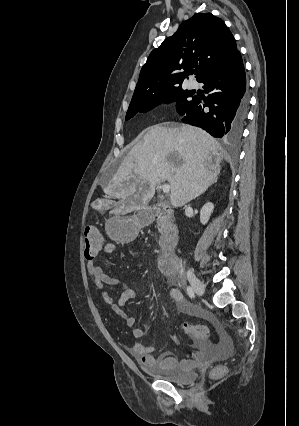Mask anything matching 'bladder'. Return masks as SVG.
Listing matches in <instances>:
<instances>
[{"mask_svg":"<svg viewBox=\"0 0 299 426\" xmlns=\"http://www.w3.org/2000/svg\"><path fill=\"white\" fill-rule=\"evenodd\" d=\"M144 371L149 375L176 384H189L197 379V373L194 370L159 369L144 366Z\"/></svg>","mask_w":299,"mask_h":426,"instance_id":"obj_1","label":"bladder"}]
</instances>
